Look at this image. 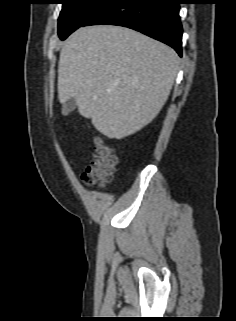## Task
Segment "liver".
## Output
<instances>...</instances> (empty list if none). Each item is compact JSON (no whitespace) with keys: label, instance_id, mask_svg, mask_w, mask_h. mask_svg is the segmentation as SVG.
<instances>
[{"label":"liver","instance_id":"liver-1","mask_svg":"<svg viewBox=\"0 0 236 321\" xmlns=\"http://www.w3.org/2000/svg\"><path fill=\"white\" fill-rule=\"evenodd\" d=\"M169 46L129 28L76 30L60 51L58 98H74L79 114L111 139L141 130L160 112L178 72Z\"/></svg>","mask_w":236,"mask_h":321}]
</instances>
